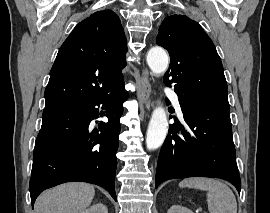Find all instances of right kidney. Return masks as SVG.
Returning <instances> with one entry per match:
<instances>
[{
    "label": "right kidney",
    "mask_w": 270,
    "mask_h": 213,
    "mask_svg": "<svg viewBox=\"0 0 270 213\" xmlns=\"http://www.w3.org/2000/svg\"><path fill=\"white\" fill-rule=\"evenodd\" d=\"M81 213H108V210L105 205L98 203L92 205L86 210H83Z\"/></svg>",
    "instance_id": "1"
}]
</instances>
